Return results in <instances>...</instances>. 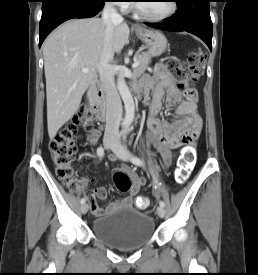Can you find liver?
Instances as JSON below:
<instances>
[{
	"label": "liver",
	"instance_id": "6515ba94",
	"mask_svg": "<svg viewBox=\"0 0 258 275\" xmlns=\"http://www.w3.org/2000/svg\"><path fill=\"white\" fill-rule=\"evenodd\" d=\"M105 31L103 19H72L45 40L43 56L50 139L78 110L84 92L93 81L104 48ZM128 38L127 23L114 24L113 52H121ZM83 68L88 72H83Z\"/></svg>",
	"mask_w": 258,
	"mask_h": 275
}]
</instances>
